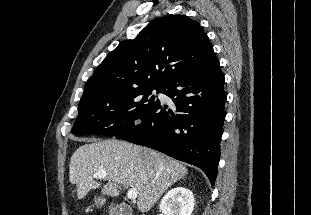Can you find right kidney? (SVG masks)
I'll use <instances>...</instances> for the list:
<instances>
[{
    "mask_svg": "<svg viewBox=\"0 0 311 215\" xmlns=\"http://www.w3.org/2000/svg\"><path fill=\"white\" fill-rule=\"evenodd\" d=\"M163 215H191L194 208L192 191L184 187H175L168 191L159 205Z\"/></svg>",
    "mask_w": 311,
    "mask_h": 215,
    "instance_id": "right-kidney-1",
    "label": "right kidney"
}]
</instances>
